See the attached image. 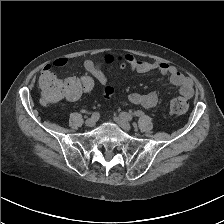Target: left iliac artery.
<instances>
[{
  "mask_svg": "<svg viewBox=\"0 0 224 224\" xmlns=\"http://www.w3.org/2000/svg\"><path fill=\"white\" fill-rule=\"evenodd\" d=\"M120 116L122 117V118H124V119H126V120H132V115L131 114H129V113H127V112H122L121 114H120Z\"/></svg>",
  "mask_w": 224,
  "mask_h": 224,
  "instance_id": "44dca946",
  "label": "left iliac artery"
}]
</instances>
